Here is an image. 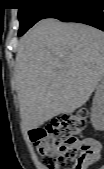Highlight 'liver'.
<instances>
[{"label": "liver", "mask_w": 104, "mask_h": 169, "mask_svg": "<svg viewBox=\"0 0 104 169\" xmlns=\"http://www.w3.org/2000/svg\"><path fill=\"white\" fill-rule=\"evenodd\" d=\"M104 75V33L48 18L20 40L15 87L26 130L83 106Z\"/></svg>", "instance_id": "liver-1"}]
</instances>
